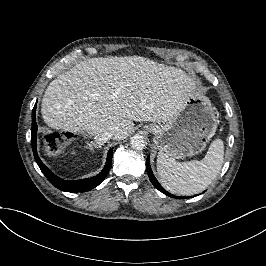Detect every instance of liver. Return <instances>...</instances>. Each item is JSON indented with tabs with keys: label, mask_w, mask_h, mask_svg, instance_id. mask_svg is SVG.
<instances>
[{
	"label": "liver",
	"mask_w": 266,
	"mask_h": 266,
	"mask_svg": "<svg viewBox=\"0 0 266 266\" xmlns=\"http://www.w3.org/2000/svg\"><path fill=\"white\" fill-rule=\"evenodd\" d=\"M194 81L174 67L139 56L89 59L57 76L42 98L41 115L51 128L106 130L124 140L133 121L165 122L186 107Z\"/></svg>",
	"instance_id": "6515ba94"
}]
</instances>
